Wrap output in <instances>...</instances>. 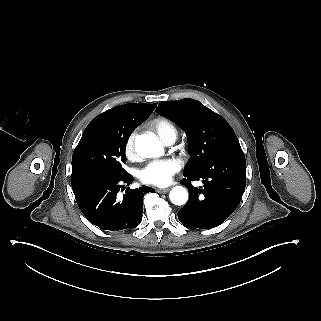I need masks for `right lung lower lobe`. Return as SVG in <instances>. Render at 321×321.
<instances>
[{"label": "right lung lower lobe", "mask_w": 321, "mask_h": 321, "mask_svg": "<svg viewBox=\"0 0 321 321\" xmlns=\"http://www.w3.org/2000/svg\"><path fill=\"white\" fill-rule=\"evenodd\" d=\"M129 173L114 174L96 168H72V190L85 217L104 230L119 231L136 227L142 220V200L146 193L155 192L148 186L127 188L123 200L117 198L121 184L129 185Z\"/></svg>", "instance_id": "1"}]
</instances>
